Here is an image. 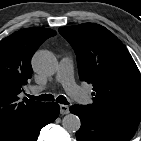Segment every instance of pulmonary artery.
Wrapping results in <instances>:
<instances>
[{
  "instance_id": "pulmonary-artery-1",
  "label": "pulmonary artery",
  "mask_w": 141,
  "mask_h": 141,
  "mask_svg": "<svg viewBox=\"0 0 141 141\" xmlns=\"http://www.w3.org/2000/svg\"><path fill=\"white\" fill-rule=\"evenodd\" d=\"M57 82L61 83L66 90V92L75 100L82 104H86L89 102L88 94L83 91L74 81L73 78V64L72 60L69 57H63L57 69L56 74ZM44 87L35 86L32 88L34 93H37L43 90Z\"/></svg>"
}]
</instances>
